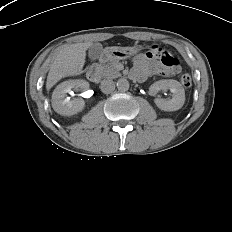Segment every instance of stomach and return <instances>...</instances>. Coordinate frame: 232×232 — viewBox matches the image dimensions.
<instances>
[{
    "label": "stomach",
    "instance_id": "1",
    "mask_svg": "<svg viewBox=\"0 0 232 232\" xmlns=\"http://www.w3.org/2000/svg\"><path fill=\"white\" fill-rule=\"evenodd\" d=\"M139 48L107 47L102 53L103 61H118L138 53Z\"/></svg>",
    "mask_w": 232,
    "mask_h": 232
}]
</instances>
